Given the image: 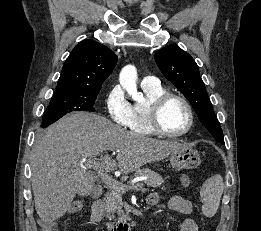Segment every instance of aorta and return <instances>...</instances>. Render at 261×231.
Returning <instances> with one entry per match:
<instances>
[{"mask_svg": "<svg viewBox=\"0 0 261 231\" xmlns=\"http://www.w3.org/2000/svg\"><path fill=\"white\" fill-rule=\"evenodd\" d=\"M137 70L132 65L125 66L119 75L120 85L125 89L134 101H142L143 95L137 92Z\"/></svg>", "mask_w": 261, "mask_h": 231, "instance_id": "aorta-1", "label": "aorta"}]
</instances>
